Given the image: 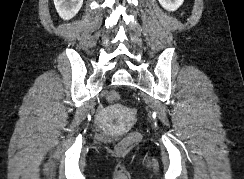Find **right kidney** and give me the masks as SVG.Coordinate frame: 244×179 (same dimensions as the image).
I'll return each mask as SVG.
<instances>
[{
    "label": "right kidney",
    "mask_w": 244,
    "mask_h": 179,
    "mask_svg": "<svg viewBox=\"0 0 244 179\" xmlns=\"http://www.w3.org/2000/svg\"><path fill=\"white\" fill-rule=\"evenodd\" d=\"M55 8L63 20H71L82 8L83 0H54Z\"/></svg>",
    "instance_id": "1"
}]
</instances>
